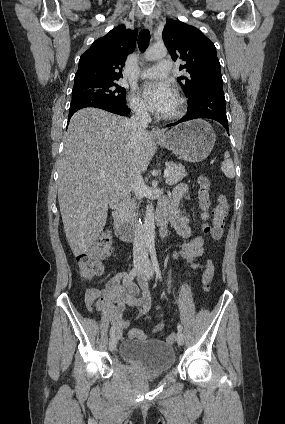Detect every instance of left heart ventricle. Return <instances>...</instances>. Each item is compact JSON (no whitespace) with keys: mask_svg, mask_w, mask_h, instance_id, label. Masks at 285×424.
I'll return each mask as SVG.
<instances>
[{"mask_svg":"<svg viewBox=\"0 0 285 424\" xmlns=\"http://www.w3.org/2000/svg\"><path fill=\"white\" fill-rule=\"evenodd\" d=\"M177 107H178V102H177V100L175 98L174 101H173V103H172V105H171V107H170V109L164 115L171 114V113L175 112L176 109H177Z\"/></svg>","mask_w":285,"mask_h":424,"instance_id":"b2bd125f","label":"left heart ventricle"}]
</instances>
